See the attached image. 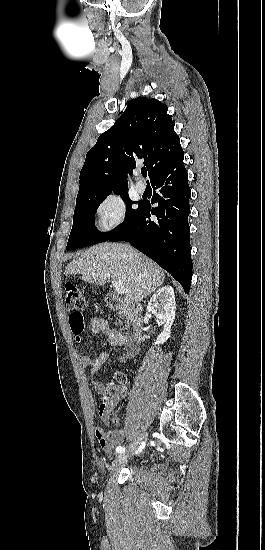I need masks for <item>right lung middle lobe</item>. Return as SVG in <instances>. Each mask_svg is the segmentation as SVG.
Segmentation results:
<instances>
[{
	"mask_svg": "<svg viewBox=\"0 0 265 550\" xmlns=\"http://www.w3.org/2000/svg\"><path fill=\"white\" fill-rule=\"evenodd\" d=\"M122 199L127 205V212L124 222L117 226L114 230L102 233L95 228V213L100 203L109 195H100L92 198H77L76 199V208L73 218V227L69 236L67 243V250H74L76 248L85 247L88 245H93L101 242L107 241L116 231L124 227L129 223L136 213L139 210L140 203H138V208L133 210L131 205L133 202L129 199L126 191L119 192Z\"/></svg>",
	"mask_w": 265,
	"mask_h": 550,
	"instance_id": "dd1d6c3e",
	"label": "right lung middle lobe"
}]
</instances>
